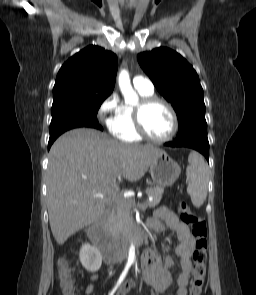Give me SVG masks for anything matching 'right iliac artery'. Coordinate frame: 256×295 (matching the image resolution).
<instances>
[{"label": "right iliac artery", "mask_w": 256, "mask_h": 295, "mask_svg": "<svg viewBox=\"0 0 256 295\" xmlns=\"http://www.w3.org/2000/svg\"><path fill=\"white\" fill-rule=\"evenodd\" d=\"M130 266H131V263H127V264H126L125 269H124V271L122 272V274L120 275V278H119V280H118L116 286H115L114 289L109 293V295H113V294L115 293L116 289H117V288L120 286V284L123 282V280H124V278H125V276H126L128 270H129Z\"/></svg>", "instance_id": "1"}]
</instances>
